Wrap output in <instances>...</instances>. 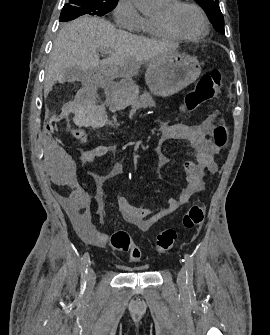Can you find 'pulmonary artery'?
Listing matches in <instances>:
<instances>
[{"instance_id": "pulmonary-artery-1", "label": "pulmonary artery", "mask_w": 270, "mask_h": 335, "mask_svg": "<svg viewBox=\"0 0 270 335\" xmlns=\"http://www.w3.org/2000/svg\"><path fill=\"white\" fill-rule=\"evenodd\" d=\"M161 2H164V3H169V2H173V1H176V0H160Z\"/></svg>"}]
</instances>
